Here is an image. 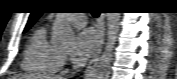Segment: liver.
I'll list each match as a JSON object with an SVG mask.
<instances>
[{
  "instance_id": "obj_1",
  "label": "liver",
  "mask_w": 177,
  "mask_h": 79,
  "mask_svg": "<svg viewBox=\"0 0 177 79\" xmlns=\"http://www.w3.org/2000/svg\"><path fill=\"white\" fill-rule=\"evenodd\" d=\"M13 79H62L59 76H31V75H19L14 76Z\"/></svg>"
}]
</instances>
